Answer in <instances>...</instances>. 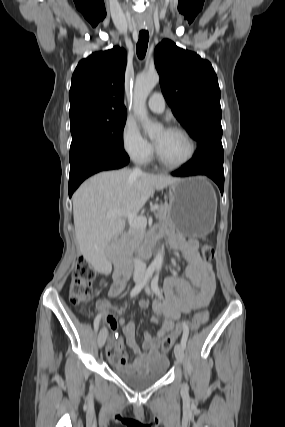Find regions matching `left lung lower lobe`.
I'll list each match as a JSON object with an SVG mask.
<instances>
[{"instance_id":"1","label":"left lung lower lobe","mask_w":285,"mask_h":427,"mask_svg":"<svg viewBox=\"0 0 285 427\" xmlns=\"http://www.w3.org/2000/svg\"><path fill=\"white\" fill-rule=\"evenodd\" d=\"M224 151L222 144L206 145L197 149L195 156L184 166L172 172L173 176L185 177L191 175H207L213 179L223 194L224 170H223Z\"/></svg>"}]
</instances>
